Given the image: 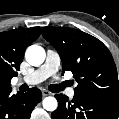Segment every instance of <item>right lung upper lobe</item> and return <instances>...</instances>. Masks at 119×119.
<instances>
[{
    "label": "right lung upper lobe",
    "mask_w": 119,
    "mask_h": 119,
    "mask_svg": "<svg viewBox=\"0 0 119 119\" xmlns=\"http://www.w3.org/2000/svg\"><path fill=\"white\" fill-rule=\"evenodd\" d=\"M40 27L15 29L0 33V92L10 90L17 76L25 49L40 35Z\"/></svg>",
    "instance_id": "1"
}]
</instances>
